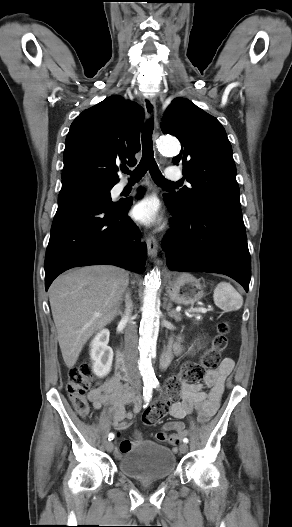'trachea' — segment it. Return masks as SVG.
I'll return each instance as SVG.
<instances>
[{
	"instance_id": "1",
	"label": "trachea",
	"mask_w": 292,
	"mask_h": 527,
	"mask_svg": "<svg viewBox=\"0 0 292 527\" xmlns=\"http://www.w3.org/2000/svg\"><path fill=\"white\" fill-rule=\"evenodd\" d=\"M153 121L149 120L142 132V158L138 166L132 171L128 172L127 168H122V172L129 173L131 181L140 180L147 170H149L152 179L161 186H175L178 183L168 181L160 172L158 165L154 159L153 141H152Z\"/></svg>"
}]
</instances>
